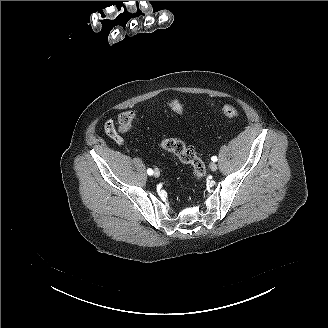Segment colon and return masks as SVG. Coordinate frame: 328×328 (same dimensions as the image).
I'll use <instances>...</instances> for the list:
<instances>
[{
    "mask_svg": "<svg viewBox=\"0 0 328 328\" xmlns=\"http://www.w3.org/2000/svg\"><path fill=\"white\" fill-rule=\"evenodd\" d=\"M168 106L177 114L183 113V105L177 99H171L168 101ZM221 113L227 118H235L238 116V111L233 105H223L220 107ZM136 118V112L133 110H127L122 112L117 119V125L108 127L107 132L112 137H116L117 132L126 133L131 129L132 123ZM160 146L176 155L180 161L189 164L193 168L194 181H200L206 174V168L202 160L197 156L196 152L187 147L181 140L175 138L163 139Z\"/></svg>",
    "mask_w": 328,
    "mask_h": 328,
    "instance_id": "1",
    "label": "colon"
}]
</instances>
